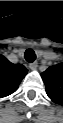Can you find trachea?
Listing matches in <instances>:
<instances>
[{
	"label": "trachea",
	"instance_id": "trachea-1",
	"mask_svg": "<svg viewBox=\"0 0 63 123\" xmlns=\"http://www.w3.org/2000/svg\"><path fill=\"white\" fill-rule=\"evenodd\" d=\"M24 57L28 63H33L36 59V54H35L34 50L29 48L25 51Z\"/></svg>",
	"mask_w": 63,
	"mask_h": 123
}]
</instances>
